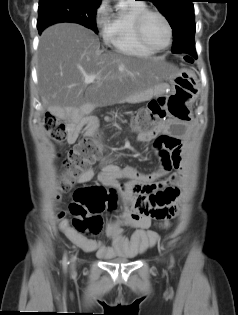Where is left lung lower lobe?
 I'll list each match as a JSON object with an SVG mask.
<instances>
[{
  "instance_id": "1",
  "label": "left lung lower lobe",
  "mask_w": 238,
  "mask_h": 315,
  "mask_svg": "<svg viewBox=\"0 0 238 315\" xmlns=\"http://www.w3.org/2000/svg\"><path fill=\"white\" fill-rule=\"evenodd\" d=\"M171 51L173 53H188L192 55L194 58H197L196 50H195V44L191 43L189 40H187L184 37H175L174 38V44L172 46ZM188 58V57H187ZM191 60L190 58H188Z\"/></svg>"
}]
</instances>
